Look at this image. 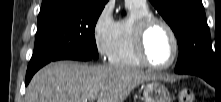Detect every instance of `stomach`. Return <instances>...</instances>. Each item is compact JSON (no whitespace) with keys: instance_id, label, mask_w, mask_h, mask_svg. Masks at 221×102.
<instances>
[{"instance_id":"0dacf381","label":"stomach","mask_w":221,"mask_h":102,"mask_svg":"<svg viewBox=\"0 0 221 102\" xmlns=\"http://www.w3.org/2000/svg\"><path fill=\"white\" fill-rule=\"evenodd\" d=\"M144 102H171L172 96L162 83L151 81L143 86Z\"/></svg>"}]
</instances>
